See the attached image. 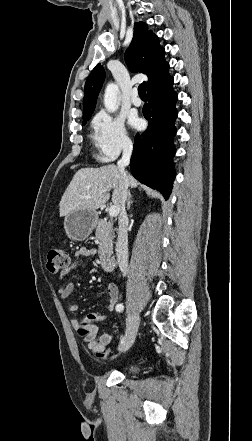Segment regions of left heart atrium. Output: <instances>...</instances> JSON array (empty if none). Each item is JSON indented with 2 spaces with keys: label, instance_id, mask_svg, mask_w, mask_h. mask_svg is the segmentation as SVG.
Returning <instances> with one entry per match:
<instances>
[{
  "label": "left heart atrium",
  "instance_id": "39dd6f15",
  "mask_svg": "<svg viewBox=\"0 0 252 441\" xmlns=\"http://www.w3.org/2000/svg\"><path fill=\"white\" fill-rule=\"evenodd\" d=\"M131 124L135 127H137L139 125V120L136 118H132L131 119Z\"/></svg>",
  "mask_w": 252,
  "mask_h": 441
}]
</instances>
